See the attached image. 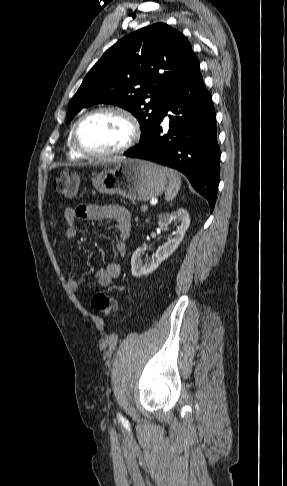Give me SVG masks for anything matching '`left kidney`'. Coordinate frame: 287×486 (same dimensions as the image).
<instances>
[{
    "label": "left kidney",
    "instance_id": "1",
    "mask_svg": "<svg viewBox=\"0 0 287 486\" xmlns=\"http://www.w3.org/2000/svg\"><path fill=\"white\" fill-rule=\"evenodd\" d=\"M172 221H174L175 224H179L176 231L173 233V237L169 238L168 241L152 255L151 259H145V261L141 260V254L145 250L142 247L137 248L133 253L131 258V270L134 277L150 274L178 248L190 225V217L187 210L180 208L171 213H161L158 215V225L162 228L167 229Z\"/></svg>",
    "mask_w": 287,
    "mask_h": 486
}]
</instances>
